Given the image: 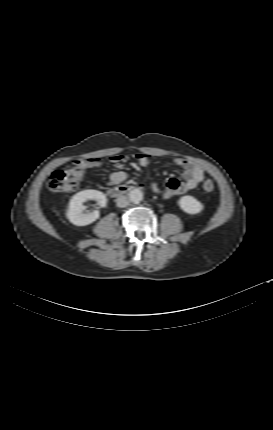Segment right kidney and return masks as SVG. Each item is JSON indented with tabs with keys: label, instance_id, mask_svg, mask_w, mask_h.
I'll return each instance as SVG.
<instances>
[{
	"label": "right kidney",
	"instance_id": "right-kidney-1",
	"mask_svg": "<svg viewBox=\"0 0 273 430\" xmlns=\"http://www.w3.org/2000/svg\"><path fill=\"white\" fill-rule=\"evenodd\" d=\"M88 200H96L101 207L106 206V196L97 190H84L75 194L70 202L66 213L68 220L76 226H86L99 218V211L95 210L89 214L83 212L84 203Z\"/></svg>",
	"mask_w": 273,
	"mask_h": 430
}]
</instances>
